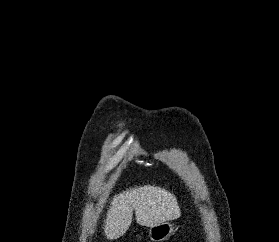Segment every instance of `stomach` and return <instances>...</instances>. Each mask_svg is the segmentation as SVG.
<instances>
[{
    "label": "stomach",
    "mask_w": 279,
    "mask_h": 242,
    "mask_svg": "<svg viewBox=\"0 0 279 242\" xmlns=\"http://www.w3.org/2000/svg\"><path fill=\"white\" fill-rule=\"evenodd\" d=\"M173 233L174 225L166 221L150 227L149 238L152 242H163Z\"/></svg>",
    "instance_id": "stomach-1"
}]
</instances>
